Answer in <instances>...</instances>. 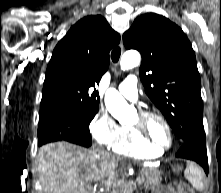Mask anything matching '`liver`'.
I'll list each match as a JSON object with an SVG mask.
<instances>
[{
  "instance_id": "liver-1",
  "label": "liver",
  "mask_w": 221,
  "mask_h": 193,
  "mask_svg": "<svg viewBox=\"0 0 221 193\" xmlns=\"http://www.w3.org/2000/svg\"><path fill=\"white\" fill-rule=\"evenodd\" d=\"M44 193H90L91 182L114 173L118 158L101 149L49 143L37 155Z\"/></svg>"
}]
</instances>
